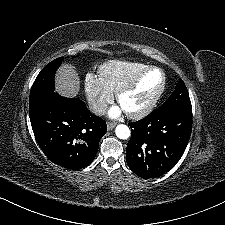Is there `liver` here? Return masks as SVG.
I'll return each mask as SVG.
<instances>
[{
    "instance_id": "6515ba94",
    "label": "liver",
    "mask_w": 225,
    "mask_h": 225,
    "mask_svg": "<svg viewBox=\"0 0 225 225\" xmlns=\"http://www.w3.org/2000/svg\"><path fill=\"white\" fill-rule=\"evenodd\" d=\"M80 89L77 72L69 64H63L56 75V91L63 96H76Z\"/></svg>"
}]
</instances>
